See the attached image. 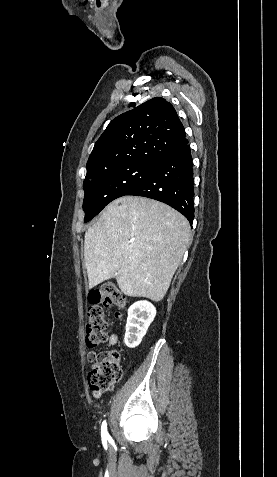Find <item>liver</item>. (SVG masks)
<instances>
[{
    "label": "liver",
    "instance_id": "liver-1",
    "mask_svg": "<svg viewBox=\"0 0 277 477\" xmlns=\"http://www.w3.org/2000/svg\"><path fill=\"white\" fill-rule=\"evenodd\" d=\"M187 219L170 206L144 197H120L85 233L89 288L116 278L132 297L161 301L190 242Z\"/></svg>",
    "mask_w": 277,
    "mask_h": 477
}]
</instances>
